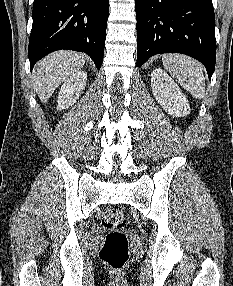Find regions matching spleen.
<instances>
[{"mask_svg": "<svg viewBox=\"0 0 233 286\" xmlns=\"http://www.w3.org/2000/svg\"><path fill=\"white\" fill-rule=\"evenodd\" d=\"M164 67L193 97L201 99L205 94L203 66L198 61L182 54L162 56Z\"/></svg>", "mask_w": 233, "mask_h": 286, "instance_id": "spleen-1", "label": "spleen"}]
</instances>
